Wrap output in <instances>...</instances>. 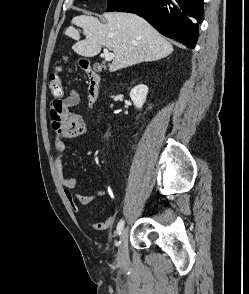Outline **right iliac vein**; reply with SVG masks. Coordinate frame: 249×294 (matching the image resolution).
Listing matches in <instances>:
<instances>
[{"instance_id": "63e3f726", "label": "right iliac vein", "mask_w": 249, "mask_h": 294, "mask_svg": "<svg viewBox=\"0 0 249 294\" xmlns=\"http://www.w3.org/2000/svg\"><path fill=\"white\" fill-rule=\"evenodd\" d=\"M127 241H128V228H124L120 236L119 249H118V259L122 263L126 262L128 259Z\"/></svg>"}]
</instances>
